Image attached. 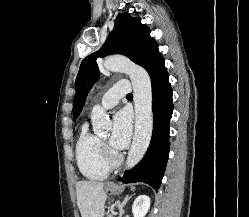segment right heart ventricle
Listing matches in <instances>:
<instances>
[{
  "mask_svg": "<svg viewBox=\"0 0 249 217\" xmlns=\"http://www.w3.org/2000/svg\"><path fill=\"white\" fill-rule=\"evenodd\" d=\"M76 161L82 175L90 180H103L110 171L100 139L89 131L87 123L81 126L75 148Z\"/></svg>",
  "mask_w": 249,
  "mask_h": 217,
  "instance_id": "right-heart-ventricle-1",
  "label": "right heart ventricle"
}]
</instances>
